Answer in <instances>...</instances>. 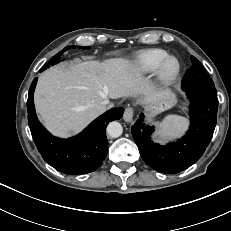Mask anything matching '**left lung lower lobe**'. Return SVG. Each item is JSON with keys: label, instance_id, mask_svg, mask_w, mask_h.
<instances>
[{"label": "left lung lower lobe", "instance_id": "left-lung-lower-lobe-1", "mask_svg": "<svg viewBox=\"0 0 231 231\" xmlns=\"http://www.w3.org/2000/svg\"><path fill=\"white\" fill-rule=\"evenodd\" d=\"M190 98V128L177 142L161 146L151 140L154 126L144 124V115L131 128L143 160L154 170L175 174L193 165L204 153L215 129L217 92L192 88L183 89Z\"/></svg>", "mask_w": 231, "mask_h": 231}]
</instances>
